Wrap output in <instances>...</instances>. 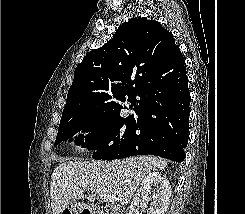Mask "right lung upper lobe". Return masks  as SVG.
I'll return each mask as SVG.
<instances>
[{
    "label": "right lung upper lobe",
    "instance_id": "cb5924a9",
    "mask_svg": "<svg viewBox=\"0 0 245 214\" xmlns=\"http://www.w3.org/2000/svg\"><path fill=\"white\" fill-rule=\"evenodd\" d=\"M186 78L172 34L155 20L133 18L78 64L62 115L119 114L120 102L128 100L135 109L154 86L163 81L176 85Z\"/></svg>",
    "mask_w": 245,
    "mask_h": 214
}]
</instances>
